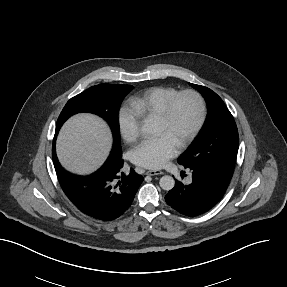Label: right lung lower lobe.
Masks as SVG:
<instances>
[{"label":"right lung lower lobe","instance_id":"98d812e1","mask_svg":"<svg viewBox=\"0 0 287 287\" xmlns=\"http://www.w3.org/2000/svg\"><path fill=\"white\" fill-rule=\"evenodd\" d=\"M53 163L60 185L71 202L84 214L100 221L120 217L131 205L143 177L131 169L121 173L122 154L109 156L104 165L89 176H76L66 172L57 156Z\"/></svg>","mask_w":287,"mask_h":287}]
</instances>
